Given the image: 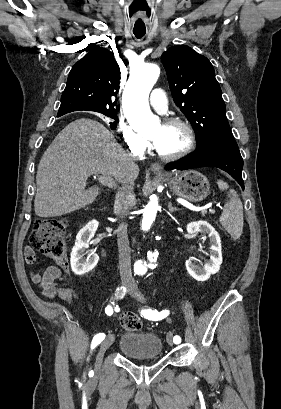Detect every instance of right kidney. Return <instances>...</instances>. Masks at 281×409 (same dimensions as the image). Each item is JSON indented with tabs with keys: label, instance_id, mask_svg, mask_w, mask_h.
Segmentation results:
<instances>
[{
	"label": "right kidney",
	"instance_id": "right-kidney-1",
	"mask_svg": "<svg viewBox=\"0 0 281 409\" xmlns=\"http://www.w3.org/2000/svg\"><path fill=\"white\" fill-rule=\"evenodd\" d=\"M98 221H89L76 235L75 245L71 251V267L75 275H86L96 267L99 257L92 251H86L98 229Z\"/></svg>",
	"mask_w": 281,
	"mask_h": 409
}]
</instances>
